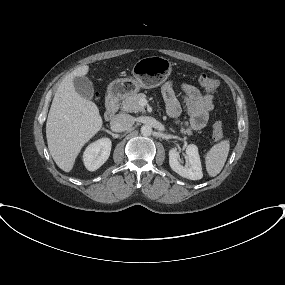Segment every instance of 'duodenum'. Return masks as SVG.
<instances>
[{
	"label": "duodenum",
	"instance_id": "duodenum-1",
	"mask_svg": "<svg viewBox=\"0 0 285 285\" xmlns=\"http://www.w3.org/2000/svg\"><path fill=\"white\" fill-rule=\"evenodd\" d=\"M119 108V99L114 92L108 94L105 104L104 118L111 120L117 113Z\"/></svg>",
	"mask_w": 285,
	"mask_h": 285
}]
</instances>
